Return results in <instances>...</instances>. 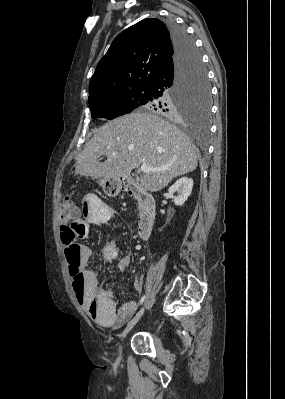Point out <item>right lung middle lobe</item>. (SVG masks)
I'll list each match as a JSON object with an SVG mask.
<instances>
[{"instance_id": "1", "label": "right lung middle lobe", "mask_w": 285, "mask_h": 399, "mask_svg": "<svg viewBox=\"0 0 285 399\" xmlns=\"http://www.w3.org/2000/svg\"><path fill=\"white\" fill-rule=\"evenodd\" d=\"M159 98L160 101L151 93L150 87L120 91L89 100L91 117L112 120L144 106L165 114H181L184 111H193L205 119L208 118L211 108L210 86L206 69L197 49L181 80L165 97ZM164 100L172 101L173 110L170 112L166 110L163 106Z\"/></svg>"}]
</instances>
